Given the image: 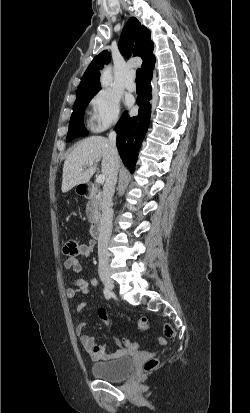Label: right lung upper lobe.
Segmentation results:
<instances>
[{
	"mask_svg": "<svg viewBox=\"0 0 250 413\" xmlns=\"http://www.w3.org/2000/svg\"><path fill=\"white\" fill-rule=\"evenodd\" d=\"M119 48L121 53L125 55L130 56L133 52V56H140L142 58L141 68L143 74L152 70L155 57L153 55V42L150 41V31L141 25L135 17L130 18L124 26L119 41ZM110 59V53L103 51L92 60L82 77L77 90V96L100 90L99 70Z\"/></svg>",
	"mask_w": 250,
	"mask_h": 413,
	"instance_id": "1",
	"label": "right lung upper lobe"
}]
</instances>
